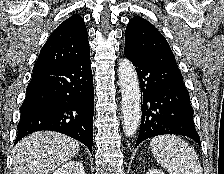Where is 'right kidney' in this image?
Returning a JSON list of instances; mask_svg holds the SVG:
<instances>
[{"instance_id": "ca27d5eb", "label": "right kidney", "mask_w": 224, "mask_h": 174, "mask_svg": "<svg viewBox=\"0 0 224 174\" xmlns=\"http://www.w3.org/2000/svg\"><path fill=\"white\" fill-rule=\"evenodd\" d=\"M53 174H85V170L81 162L70 161L60 166Z\"/></svg>"}]
</instances>
